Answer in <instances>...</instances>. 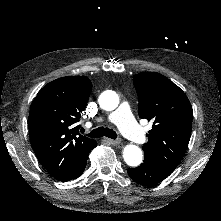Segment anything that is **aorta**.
Returning <instances> with one entry per match:
<instances>
[{
    "instance_id": "obj_1",
    "label": "aorta",
    "mask_w": 221,
    "mask_h": 221,
    "mask_svg": "<svg viewBox=\"0 0 221 221\" xmlns=\"http://www.w3.org/2000/svg\"><path fill=\"white\" fill-rule=\"evenodd\" d=\"M118 104L119 98L114 91H108L99 97V105L106 111L114 110ZM123 158L127 165L137 167L142 163L143 153L138 146L129 144L123 149Z\"/></svg>"
}]
</instances>
